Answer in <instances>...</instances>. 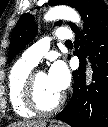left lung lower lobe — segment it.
I'll use <instances>...</instances> for the list:
<instances>
[{"label": "left lung lower lobe", "instance_id": "obj_1", "mask_svg": "<svg viewBox=\"0 0 108 127\" xmlns=\"http://www.w3.org/2000/svg\"><path fill=\"white\" fill-rule=\"evenodd\" d=\"M79 13L85 23L82 38L78 27L72 29L78 39L75 45L86 42L75 52L81 63L73 72L74 90L68 105L56 118L71 127H108V10L102 0H84ZM93 68V81L85 87V56ZM88 89V90H87Z\"/></svg>", "mask_w": 108, "mask_h": 127}]
</instances>
